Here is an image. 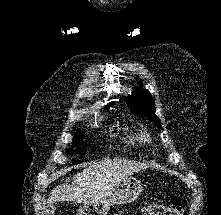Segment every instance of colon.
Here are the masks:
<instances>
[{"mask_svg":"<svg viewBox=\"0 0 221 215\" xmlns=\"http://www.w3.org/2000/svg\"><path fill=\"white\" fill-rule=\"evenodd\" d=\"M147 215H187L179 196L173 195L169 204H150L146 207Z\"/></svg>","mask_w":221,"mask_h":215,"instance_id":"5ec220e1","label":"colon"}]
</instances>
